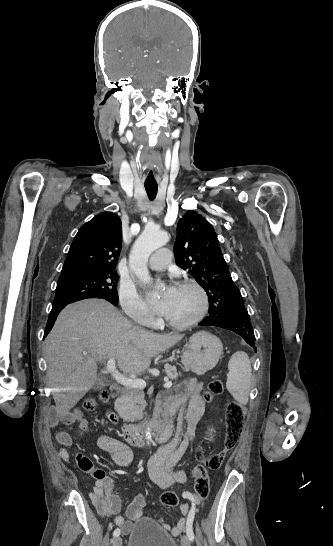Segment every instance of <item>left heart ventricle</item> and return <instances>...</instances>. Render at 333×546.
<instances>
[{
  "label": "left heart ventricle",
  "mask_w": 333,
  "mask_h": 546,
  "mask_svg": "<svg viewBox=\"0 0 333 546\" xmlns=\"http://www.w3.org/2000/svg\"><path fill=\"white\" fill-rule=\"evenodd\" d=\"M199 306L200 297L194 289L177 287L166 317L176 322H185L195 316Z\"/></svg>",
  "instance_id": "b2bd125f"
}]
</instances>
